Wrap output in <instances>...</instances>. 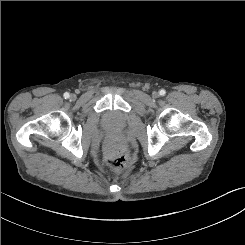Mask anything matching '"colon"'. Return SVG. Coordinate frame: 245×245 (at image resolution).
<instances>
[{
  "label": "colon",
  "mask_w": 245,
  "mask_h": 245,
  "mask_svg": "<svg viewBox=\"0 0 245 245\" xmlns=\"http://www.w3.org/2000/svg\"><path fill=\"white\" fill-rule=\"evenodd\" d=\"M105 161L115 171H122L128 161V153L124 145L113 140L109 142L105 148Z\"/></svg>",
  "instance_id": "1"
}]
</instances>
